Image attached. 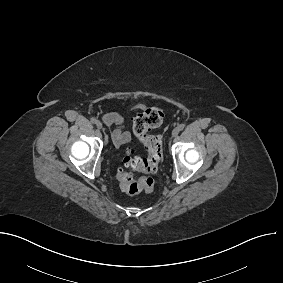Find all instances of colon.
<instances>
[{"instance_id": "colon-1", "label": "colon", "mask_w": 283, "mask_h": 283, "mask_svg": "<svg viewBox=\"0 0 283 283\" xmlns=\"http://www.w3.org/2000/svg\"><path fill=\"white\" fill-rule=\"evenodd\" d=\"M164 116L162 109L150 107L134 119V134L143 144L147 156L137 157L134 156L133 151H128L124 158L127 168L145 175H151L157 171L162 159V142L159 136L151 134V130L162 125ZM117 180L121 189L128 195L150 192L154 186L149 176L136 179L131 173L122 170L118 172Z\"/></svg>"}]
</instances>
